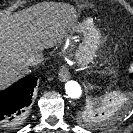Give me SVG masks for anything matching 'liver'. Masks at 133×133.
Returning a JSON list of instances; mask_svg holds the SVG:
<instances>
[{
    "instance_id": "liver-1",
    "label": "liver",
    "mask_w": 133,
    "mask_h": 133,
    "mask_svg": "<svg viewBox=\"0 0 133 133\" xmlns=\"http://www.w3.org/2000/svg\"><path fill=\"white\" fill-rule=\"evenodd\" d=\"M75 21L67 5L37 4L17 14L0 13V89L29 71L27 59L65 38Z\"/></svg>"
}]
</instances>
